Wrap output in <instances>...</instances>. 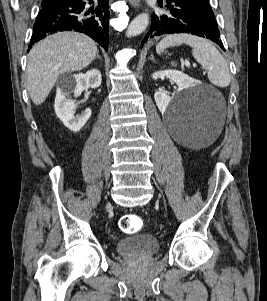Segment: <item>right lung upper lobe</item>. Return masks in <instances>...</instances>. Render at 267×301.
I'll use <instances>...</instances> for the list:
<instances>
[{"label": "right lung upper lobe", "mask_w": 267, "mask_h": 301, "mask_svg": "<svg viewBox=\"0 0 267 301\" xmlns=\"http://www.w3.org/2000/svg\"><path fill=\"white\" fill-rule=\"evenodd\" d=\"M43 1H46L48 4H53V3H56V2H58V1H60V0H43Z\"/></svg>", "instance_id": "cb5924a9"}]
</instances>
